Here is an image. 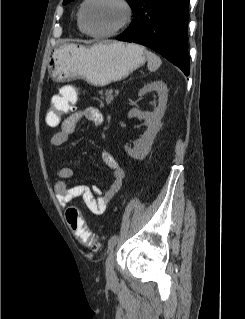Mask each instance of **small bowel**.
<instances>
[{"mask_svg": "<svg viewBox=\"0 0 245 319\" xmlns=\"http://www.w3.org/2000/svg\"><path fill=\"white\" fill-rule=\"evenodd\" d=\"M60 91L73 92L74 90L71 86L66 85ZM81 119H86L95 126L102 125L104 120L102 112L94 106H87L80 111H76L62 121L60 129L51 139L52 146L60 147L66 145ZM102 159L112 171L111 182L106 191H103L97 185L91 187L86 185H70L68 181L73 177L72 168L63 166L58 170L60 180L55 185V193L60 207L64 208L72 199L82 197L81 206L92 214L101 215L107 210L112 199L122 189L125 173L115 156L109 151L102 152Z\"/></svg>", "mask_w": 245, "mask_h": 319, "instance_id": "small-bowel-1", "label": "small bowel"}]
</instances>
